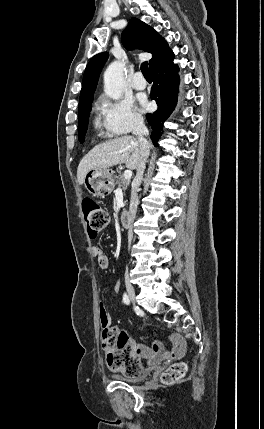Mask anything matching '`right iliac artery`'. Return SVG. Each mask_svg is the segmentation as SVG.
<instances>
[{
    "label": "right iliac artery",
    "mask_w": 264,
    "mask_h": 429,
    "mask_svg": "<svg viewBox=\"0 0 264 429\" xmlns=\"http://www.w3.org/2000/svg\"><path fill=\"white\" fill-rule=\"evenodd\" d=\"M123 302H124L126 305H129V304H130V299H129V297H128V295H127L126 293H124V295H123Z\"/></svg>",
    "instance_id": "obj_1"
}]
</instances>
